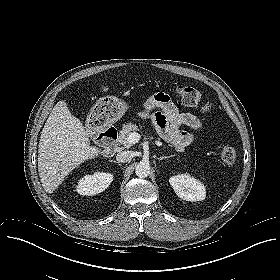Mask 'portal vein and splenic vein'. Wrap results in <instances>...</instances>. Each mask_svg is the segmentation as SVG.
Masks as SVG:
<instances>
[{
    "mask_svg": "<svg viewBox=\"0 0 280 280\" xmlns=\"http://www.w3.org/2000/svg\"><path fill=\"white\" fill-rule=\"evenodd\" d=\"M140 138H141L140 134H138L137 132H132L127 137V141L130 144H135V143H137L140 140Z\"/></svg>",
    "mask_w": 280,
    "mask_h": 280,
    "instance_id": "obj_1",
    "label": "portal vein and splenic vein"
}]
</instances>
